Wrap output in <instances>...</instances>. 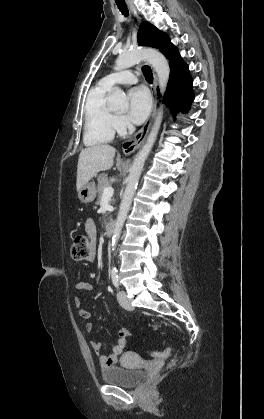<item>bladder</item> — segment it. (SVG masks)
Here are the masks:
<instances>
[{"mask_svg": "<svg viewBox=\"0 0 264 419\" xmlns=\"http://www.w3.org/2000/svg\"><path fill=\"white\" fill-rule=\"evenodd\" d=\"M105 383L124 388L137 386L145 377V372L138 368L126 366H109L101 371Z\"/></svg>", "mask_w": 264, "mask_h": 419, "instance_id": "31cf9c89", "label": "bladder"}]
</instances>
